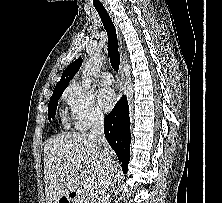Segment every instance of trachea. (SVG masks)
<instances>
[{
    "mask_svg": "<svg viewBox=\"0 0 222 203\" xmlns=\"http://www.w3.org/2000/svg\"><path fill=\"white\" fill-rule=\"evenodd\" d=\"M94 7L98 12L100 19L103 23V26L107 32L108 36V55L110 58V63L112 68L118 72L120 65V56L118 52V41L115 26L108 15L107 11L103 7V5H95Z\"/></svg>",
    "mask_w": 222,
    "mask_h": 203,
    "instance_id": "trachea-1",
    "label": "trachea"
}]
</instances>
